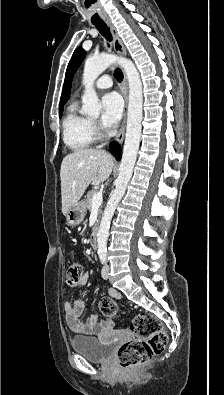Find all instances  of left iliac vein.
<instances>
[{
  "label": "left iliac vein",
  "mask_w": 224,
  "mask_h": 395,
  "mask_svg": "<svg viewBox=\"0 0 224 395\" xmlns=\"http://www.w3.org/2000/svg\"><path fill=\"white\" fill-rule=\"evenodd\" d=\"M109 270H110L109 265L105 264L103 266V268H102V271H101V275H102V277L104 279H108V277H109Z\"/></svg>",
  "instance_id": "4c4485c4"
}]
</instances>
